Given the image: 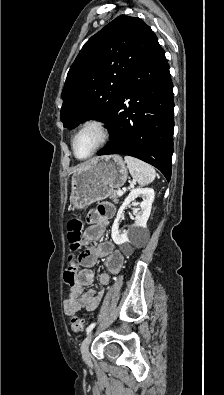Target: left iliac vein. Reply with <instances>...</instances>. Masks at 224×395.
Instances as JSON below:
<instances>
[{"instance_id": "1", "label": "left iliac vein", "mask_w": 224, "mask_h": 395, "mask_svg": "<svg viewBox=\"0 0 224 395\" xmlns=\"http://www.w3.org/2000/svg\"><path fill=\"white\" fill-rule=\"evenodd\" d=\"M93 334L90 333L81 344V354L84 362L89 363L91 361L89 346L92 340Z\"/></svg>"}]
</instances>
